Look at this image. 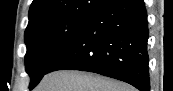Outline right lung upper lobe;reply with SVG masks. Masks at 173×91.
<instances>
[{
  "label": "right lung upper lobe",
  "instance_id": "obj_1",
  "mask_svg": "<svg viewBox=\"0 0 173 91\" xmlns=\"http://www.w3.org/2000/svg\"><path fill=\"white\" fill-rule=\"evenodd\" d=\"M110 1L112 0H33L27 27L67 16L94 14Z\"/></svg>",
  "mask_w": 173,
  "mask_h": 91
}]
</instances>
